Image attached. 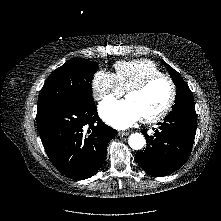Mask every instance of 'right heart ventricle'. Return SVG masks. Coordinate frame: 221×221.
Instances as JSON below:
<instances>
[{
    "instance_id": "right-heart-ventricle-1",
    "label": "right heart ventricle",
    "mask_w": 221,
    "mask_h": 221,
    "mask_svg": "<svg viewBox=\"0 0 221 221\" xmlns=\"http://www.w3.org/2000/svg\"><path fill=\"white\" fill-rule=\"evenodd\" d=\"M114 69L123 91H127L150 76L162 74L155 63L146 59L118 61L114 64Z\"/></svg>"
}]
</instances>
